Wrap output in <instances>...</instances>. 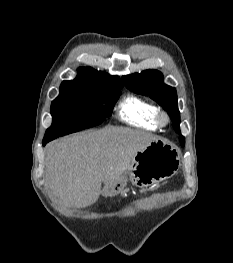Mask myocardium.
Masks as SVG:
<instances>
[{
	"label": "myocardium",
	"instance_id": "f54148a6",
	"mask_svg": "<svg viewBox=\"0 0 233 263\" xmlns=\"http://www.w3.org/2000/svg\"><path fill=\"white\" fill-rule=\"evenodd\" d=\"M156 121L159 126H165L169 123L170 119L165 111L159 110L156 115Z\"/></svg>",
	"mask_w": 233,
	"mask_h": 263
}]
</instances>
